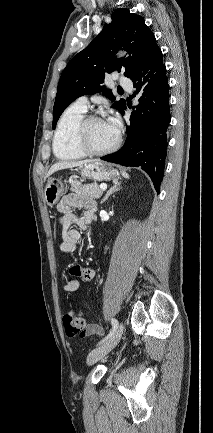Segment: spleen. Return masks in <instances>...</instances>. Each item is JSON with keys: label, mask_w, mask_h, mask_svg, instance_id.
Wrapping results in <instances>:
<instances>
[{"label": "spleen", "mask_w": 213, "mask_h": 433, "mask_svg": "<svg viewBox=\"0 0 213 433\" xmlns=\"http://www.w3.org/2000/svg\"><path fill=\"white\" fill-rule=\"evenodd\" d=\"M124 177H126V178H128L129 177V175L127 174V173H125V172H123V174H122Z\"/></svg>", "instance_id": "1"}]
</instances>
